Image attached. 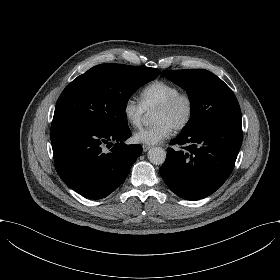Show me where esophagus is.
<instances>
[{
    "instance_id": "obj_1",
    "label": "esophagus",
    "mask_w": 280,
    "mask_h": 280,
    "mask_svg": "<svg viewBox=\"0 0 280 280\" xmlns=\"http://www.w3.org/2000/svg\"><path fill=\"white\" fill-rule=\"evenodd\" d=\"M142 147H143V152H147L151 148L150 145H146V144H144Z\"/></svg>"
}]
</instances>
